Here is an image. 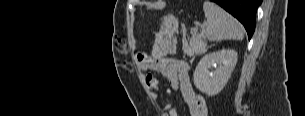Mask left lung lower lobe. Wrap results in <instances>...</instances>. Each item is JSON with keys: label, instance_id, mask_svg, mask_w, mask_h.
Masks as SVG:
<instances>
[{"label": "left lung lower lobe", "instance_id": "1", "mask_svg": "<svg viewBox=\"0 0 305 116\" xmlns=\"http://www.w3.org/2000/svg\"><path fill=\"white\" fill-rule=\"evenodd\" d=\"M236 17L245 27L249 39L255 30L256 10L262 0H212Z\"/></svg>", "mask_w": 305, "mask_h": 116}]
</instances>
